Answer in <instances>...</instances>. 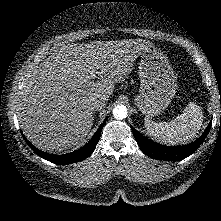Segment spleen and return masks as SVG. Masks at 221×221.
I'll list each match as a JSON object with an SVG mask.
<instances>
[{"label": "spleen", "mask_w": 221, "mask_h": 221, "mask_svg": "<svg viewBox=\"0 0 221 221\" xmlns=\"http://www.w3.org/2000/svg\"><path fill=\"white\" fill-rule=\"evenodd\" d=\"M203 123L201 108L190 102L182 113L171 122L155 123L145 118L147 131L165 143H187L195 138Z\"/></svg>", "instance_id": "3e777b00"}]
</instances>
